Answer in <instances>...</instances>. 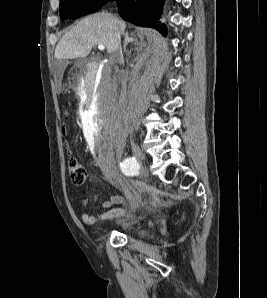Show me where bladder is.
Instances as JSON below:
<instances>
[{"instance_id":"31cf9c89","label":"bladder","mask_w":267,"mask_h":298,"mask_svg":"<svg viewBox=\"0 0 267 298\" xmlns=\"http://www.w3.org/2000/svg\"><path fill=\"white\" fill-rule=\"evenodd\" d=\"M138 235L145 236V235H147V232L145 230H141L138 232Z\"/></svg>"}]
</instances>
